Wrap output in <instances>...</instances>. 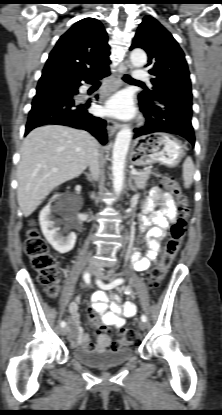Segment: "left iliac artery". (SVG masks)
<instances>
[{
	"mask_svg": "<svg viewBox=\"0 0 222 415\" xmlns=\"http://www.w3.org/2000/svg\"><path fill=\"white\" fill-rule=\"evenodd\" d=\"M122 282H123V280L121 278H118V279H115L114 281L110 282L109 284H104L101 281H97V284L99 285V287L108 290V289H112V288L120 285ZM141 320L146 322L147 321L146 315H142Z\"/></svg>",
	"mask_w": 222,
	"mask_h": 415,
	"instance_id": "obj_1",
	"label": "left iliac artery"
}]
</instances>
